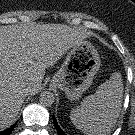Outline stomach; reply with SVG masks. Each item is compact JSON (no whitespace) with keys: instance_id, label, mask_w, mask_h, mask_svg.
<instances>
[{"instance_id":"0dacf381","label":"stomach","mask_w":135,"mask_h":135,"mask_svg":"<svg viewBox=\"0 0 135 135\" xmlns=\"http://www.w3.org/2000/svg\"><path fill=\"white\" fill-rule=\"evenodd\" d=\"M100 65L97 49L89 41H83L68 52L52 84L63 90L69 100H77L92 85Z\"/></svg>"}]
</instances>
